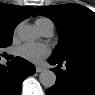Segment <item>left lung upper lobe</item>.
Masks as SVG:
<instances>
[{"mask_svg":"<svg viewBox=\"0 0 95 95\" xmlns=\"http://www.w3.org/2000/svg\"><path fill=\"white\" fill-rule=\"evenodd\" d=\"M53 20L60 33L52 57L58 60L95 59V13L78 4L37 7L33 15Z\"/></svg>","mask_w":95,"mask_h":95,"instance_id":"obj_1","label":"left lung upper lobe"}]
</instances>
